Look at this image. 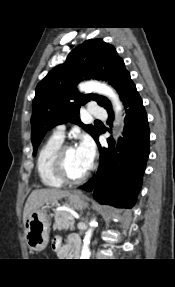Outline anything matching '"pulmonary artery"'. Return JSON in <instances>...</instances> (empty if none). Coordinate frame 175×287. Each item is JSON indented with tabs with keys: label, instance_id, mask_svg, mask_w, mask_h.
Returning a JSON list of instances; mask_svg holds the SVG:
<instances>
[{
	"label": "pulmonary artery",
	"instance_id": "e3ab8cb5",
	"mask_svg": "<svg viewBox=\"0 0 175 287\" xmlns=\"http://www.w3.org/2000/svg\"><path fill=\"white\" fill-rule=\"evenodd\" d=\"M89 114L94 117H104L106 115V111L103 107L98 105H91L89 107ZM54 136L64 139L65 136V126L58 125L54 130Z\"/></svg>",
	"mask_w": 175,
	"mask_h": 287
}]
</instances>
